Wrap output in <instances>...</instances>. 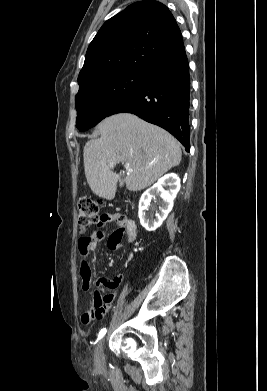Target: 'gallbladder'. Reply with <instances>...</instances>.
<instances>
[{
  "instance_id": "bac80fb5",
  "label": "gallbladder",
  "mask_w": 267,
  "mask_h": 391,
  "mask_svg": "<svg viewBox=\"0 0 267 391\" xmlns=\"http://www.w3.org/2000/svg\"><path fill=\"white\" fill-rule=\"evenodd\" d=\"M120 185H121V186L123 185V181H120Z\"/></svg>"
}]
</instances>
